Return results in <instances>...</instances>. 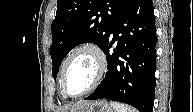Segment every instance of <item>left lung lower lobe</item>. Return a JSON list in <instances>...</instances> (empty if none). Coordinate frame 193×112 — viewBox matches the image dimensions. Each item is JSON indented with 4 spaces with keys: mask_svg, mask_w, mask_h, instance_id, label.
Masks as SVG:
<instances>
[{
    "mask_svg": "<svg viewBox=\"0 0 193 112\" xmlns=\"http://www.w3.org/2000/svg\"><path fill=\"white\" fill-rule=\"evenodd\" d=\"M154 23L152 0H133L102 49L108 63L105 78L85 99L105 98L129 104L140 112L153 111L157 39Z\"/></svg>",
    "mask_w": 193,
    "mask_h": 112,
    "instance_id": "left-lung-lower-lobe-1",
    "label": "left lung lower lobe"
}]
</instances>
